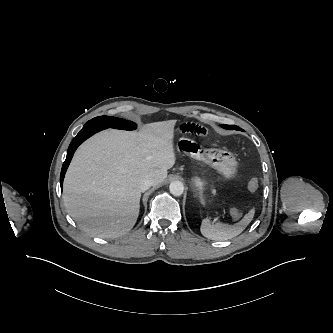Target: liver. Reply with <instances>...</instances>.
<instances>
[{
    "label": "liver",
    "mask_w": 333,
    "mask_h": 333,
    "mask_svg": "<svg viewBox=\"0 0 333 333\" xmlns=\"http://www.w3.org/2000/svg\"><path fill=\"white\" fill-rule=\"evenodd\" d=\"M176 120L153 122L139 131L109 129L85 141L67 170L63 200L79 227L100 238L129 232L139 215V182H163L175 164Z\"/></svg>",
    "instance_id": "1"
}]
</instances>
